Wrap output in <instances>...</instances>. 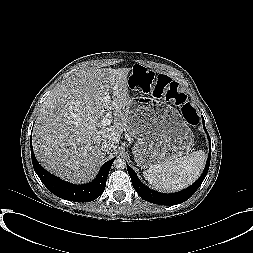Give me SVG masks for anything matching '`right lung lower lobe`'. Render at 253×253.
<instances>
[{
    "label": "right lung lower lobe",
    "mask_w": 253,
    "mask_h": 253,
    "mask_svg": "<svg viewBox=\"0 0 253 253\" xmlns=\"http://www.w3.org/2000/svg\"><path fill=\"white\" fill-rule=\"evenodd\" d=\"M31 158L35 172L46 188L56 196L75 202H90L99 197L106 186V180L115 158L107 161L100 169L97 177L84 185L70 184L46 171L36 160L32 146Z\"/></svg>",
    "instance_id": "right-lung-lower-lobe-1"
}]
</instances>
